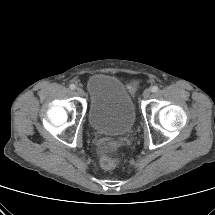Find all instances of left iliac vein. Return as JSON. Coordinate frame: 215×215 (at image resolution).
Here are the masks:
<instances>
[{
    "mask_svg": "<svg viewBox=\"0 0 215 215\" xmlns=\"http://www.w3.org/2000/svg\"><path fill=\"white\" fill-rule=\"evenodd\" d=\"M150 95H151V89L150 88L145 89L143 92V98L148 99Z\"/></svg>",
    "mask_w": 215,
    "mask_h": 215,
    "instance_id": "left-iliac-vein-1",
    "label": "left iliac vein"
}]
</instances>
